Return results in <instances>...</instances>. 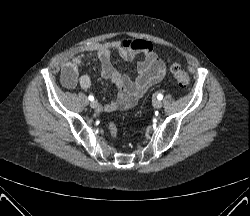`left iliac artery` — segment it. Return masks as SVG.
Here are the masks:
<instances>
[{
  "label": "left iliac artery",
  "mask_w": 250,
  "mask_h": 216,
  "mask_svg": "<svg viewBox=\"0 0 250 216\" xmlns=\"http://www.w3.org/2000/svg\"><path fill=\"white\" fill-rule=\"evenodd\" d=\"M157 98H158V100H162L163 95L162 94H158Z\"/></svg>",
  "instance_id": "left-iliac-artery-1"
}]
</instances>
